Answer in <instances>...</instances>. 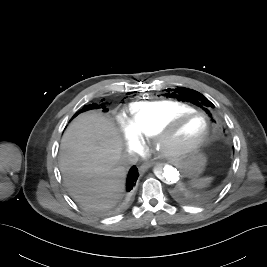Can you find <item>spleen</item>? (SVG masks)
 <instances>
[{
  "label": "spleen",
  "instance_id": "spleen-1",
  "mask_svg": "<svg viewBox=\"0 0 267 267\" xmlns=\"http://www.w3.org/2000/svg\"><path fill=\"white\" fill-rule=\"evenodd\" d=\"M211 179V177L195 179L192 181V184L195 187H205L210 183Z\"/></svg>",
  "mask_w": 267,
  "mask_h": 267
}]
</instances>
